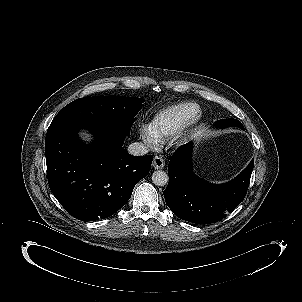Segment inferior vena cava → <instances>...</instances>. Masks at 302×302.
<instances>
[{
    "label": "inferior vena cava",
    "mask_w": 302,
    "mask_h": 302,
    "mask_svg": "<svg viewBox=\"0 0 302 302\" xmlns=\"http://www.w3.org/2000/svg\"><path fill=\"white\" fill-rule=\"evenodd\" d=\"M128 153L133 156H143L148 153V147L140 142L131 143L127 149Z\"/></svg>",
    "instance_id": "obj_1"
}]
</instances>
